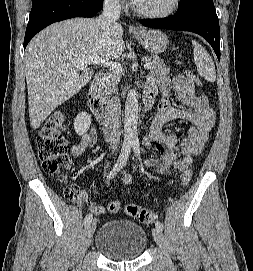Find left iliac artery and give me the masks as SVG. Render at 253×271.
<instances>
[{
	"label": "left iliac artery",
	"mask_w": 253,
	"mask_h": 271,
	"mask_svg": "<svg viewBox=\"0 0 253 271\" xmlns=\"http://www.w3.org/2000/svg\"><path fill=\"white\" fill-rule=\"evenodd\" d=\"M132 146H133V150L134 153L136 155V157L140 158V144L138 140H133L132 141ZM155 227L160 229L161 231L163 230V224L160 221H157L155 223Z\"/></svg>",
	"instance_id": "1"
}]
</instances>
